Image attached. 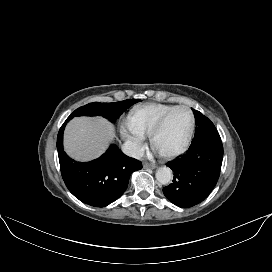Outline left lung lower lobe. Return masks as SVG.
Returning a JSON list of instances; mask_svg holds the SVG:
<instances>
[{
    "label": "left lung lower lobe",
    "mask_w": 272,
    "mask_h": 272,
    "mask_svg": "<svg viewBox=\"0 0 272 272\" xmlns=\"http://www.w3.org/2000/svg\"><path fill=\"white\" fill-rule=\"evenodd\" d=\"M222 159L223 145L217 130L192 140L187 153L168 165L174 179L163 188L165 197L181 208L202 202L218 181Z\"/></svg>",
    "instance_id": "0a47b994"
}]
</instances>
